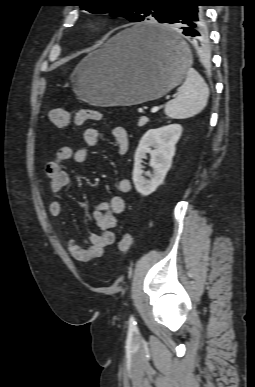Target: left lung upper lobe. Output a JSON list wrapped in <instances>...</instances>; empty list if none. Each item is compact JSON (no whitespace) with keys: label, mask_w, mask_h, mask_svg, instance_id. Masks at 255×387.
Returning <instances> with one entry per match:
<instances>
[{"label":"left lung upper lobe","mask_w":255,"mask_h":387,"mask_svg":"<svg viewBox=\"0 0 255 387\" xmlns=\"http://www.w3.org/2000/svg\"><path fill=\"white\" fill-rule=\"evenodd\" d=\"M181 0H77V5L90 13H110L131 22H141L154 17L163 23L172 2Z\"/></svg>","instance_id":"5c2ea615"}]
</instances>
